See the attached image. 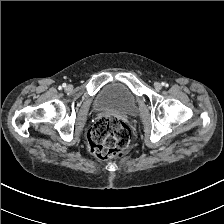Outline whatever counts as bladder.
<instances>
[{"label":"bladder","instance_id":"31cf9c89","mask_svg":"<svg viewBox=\"0 0 224 224\" xmlns=\"http://www.w3.org/2000/svg\"><path fill=\"white\" fill-rule=\"evenodd\" d=\"M94 107L99 111H114L132 115L136 112L137 100L126 86L111 82L97 93L94 99Z\"/></svg>","mask_w":224,"mask_h":224}]
</instances>
